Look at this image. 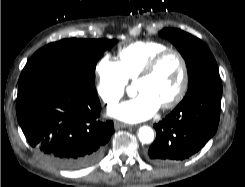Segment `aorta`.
Listing matches in <instances>:
<instances>
[{"mask_svg":"<svg viewBox=\"0 0 245 187\" xmlns=\"http://www.w3.org/2000/svg\"><path fill=\"white\" fill-rule=\"evenodd\" d=\"M128 93L130 95H132L133 89L129 88ZM138 137L142 143L148 144V143H151L153 141L154 132H153L152 128H150L148 126H142L138 131Z\"/></svg>","mask_w":245,"mask_h":187,"instance_id":"obj_1","label":"aorta"}]
</instances>
